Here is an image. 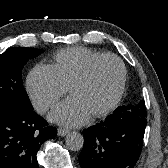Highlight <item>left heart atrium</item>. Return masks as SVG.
I'll list each match as a JSON object with an SVG mask.
<instances>
[{
	"label": "left heart atrium",
	"instance_id": "obj_1",
	"mask_svg": "<svg viewBox=\"0 0 168 168\" xmlns=\"http://www.w3.org/2000/svg\"><path fill=\"white\" fill-rule=\"evenodd\" d=\"M91 115L90 109L81 98L71 96L54 108L50 119L62 125L76 127L86 123Z\"/></svg>",
	"mask_w": 168,
	"mask_h": 168
}]
</instances>
